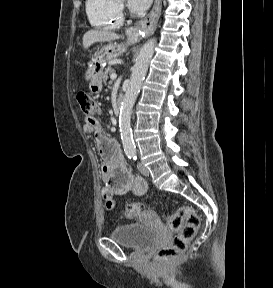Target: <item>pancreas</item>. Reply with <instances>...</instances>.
Wrapping results in <instances>:
<instances>
[{
	"label": "pancreas",
	"mask_w": 273,
	"mask_h": 288,
	"mask_svg": "<svg viewBox=\"0 0 273 288\" xmlns=\"http://www.w3.org/2000/svg\"><path fill=\"white\" fill-rule=\"evenodd\" d=\"M113 72H114V69H113L112 67H107V68L105 69V71L102 73V76H101V78H102V80H103L104 83H106V80H107V78H108V75H109V74H112Z\"/></svg>",
	"instance_id": "pancreas-1"
}]
</instances>
